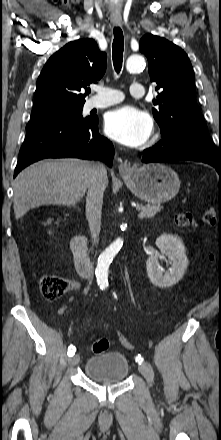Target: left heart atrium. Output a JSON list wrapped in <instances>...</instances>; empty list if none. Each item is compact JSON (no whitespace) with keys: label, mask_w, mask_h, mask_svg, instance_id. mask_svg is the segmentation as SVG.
Returning <instances> with one entry per match:
<instances>
[{"label":"left heart atrium","mask_w":221,"mask_h":440,"mask_svg":"<svg viewBox=\"0 0 221 440\" xmlns=\"http://www.w3.org/2000/svg\"><path fill=\"white\" fill-rule=\"evenodd\" d=\"M152 129L151 119L143 111L125 106L111 111L105 119V132L112 139L126 146L143 144Z\"/></svg>","instance_id":"obj_1"}]
</instances>
